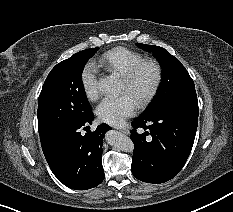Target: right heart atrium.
Segmentation results:
<instances>
[{"instance_id":"d8ad5b80","label":"right heart atrium","mask_w":233,"mask_h":212,"mask_svg":"<svg viewBox=\"0 0 233 212\" xmlns=\"http://www.w3.org/2000/svg\"><path fill=\"white\" fill-rule=\"evenodd\" d=\"M97 68L93 63H87L81 72V85L86 97L94 101L99 96Z\"/></svg>"}]
</instances>
